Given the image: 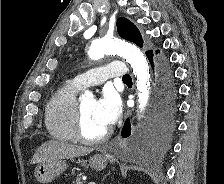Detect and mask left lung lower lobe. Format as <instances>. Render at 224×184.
Instances as JSON below:
<instances>
[{
  "instance_id": "0a47b994",
  "label": "left lung lower lobe",
  "mask_w": 224,
  "mask_h": 184,
  "mask_svg": "<svg viewBox=\"0 0 224 184\" xmlns=\"http://www.w3.org/2000/svg\"><path fill=\"white\" fill-rule=\"evenodd\" d=\"M160 51L158 50L157 53ZM152 64L153 53L147 55ZM176 91L173 85L172 73L166 59L157 62V102L154 111V121L149 139L154 144L164 145L168 141L174 129V115ZM131 134L129 119L126 120L122 129V137Z\"/></svg>"
}]
</instances>
